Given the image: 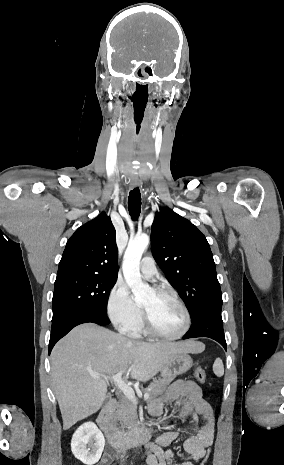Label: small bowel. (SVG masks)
Returning <instances> with one entry per match:
<instances>
[{
	"label": "small bowel",
	"mask_w": 284,
	"mask_h": 465,
	"mask_svg": "<svg viewBox=\"0 0 284 465\" xmlns=\"http://www.w3.org/2000/svg\"><path fill=\"white\" fill-rule=\"evenodd\" d=\"M172 405L173 415L178 420L189 419L193 434L183 442L185 458L180 460L175 453L167 449L178 437V431L168 429L158 433L153 441H148L147 465H195L204 456L214 440V417L210 404L204 399L201 388L194 381L178 380L172 383L163 396L150 407L152 425L159 420L166 407ZM151 433L150 429H147ZM109 455L101 460V465H107Z\"/></svg>",
	"instance_id": "small-bowel-1"
}]
</instances>
